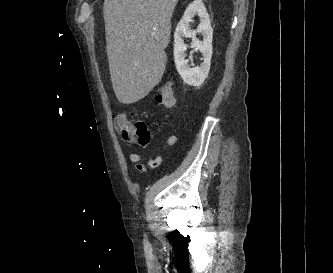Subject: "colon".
Returning a JSON list of instances; mask_svg holds the SVG:
<instances>
[{
  "instance_id": "5ec220e1",
  "label": "colon",
  "mask_w": 333,
  "mask_h": 273,
  "mask_svg": "<svg viewBox=\"0 0 333 273\" xmlns=\"http://www.w3.org/2000/svg\"><path fill=\"white\" fill-rule=\"evenodd\" d=\"M156 101L167 108L174 106V90L170 83H165L158 88ZM115 129L125 142L132 145L146 146L151 140V131L147 125L142 120L130 119L125 112H121L116 116ZM137 167L140 170H144L143 164H138Z\"/></svg>"
}]
</instances>
